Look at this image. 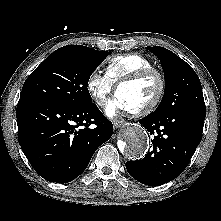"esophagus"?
<instances>
[{
    "label": "esophagus",
    "instance_id": "esophagus-1",
    "mask_svg": "<svg viewBox=\"0 0 221 221\" xmlns=\"http://www.w3.org/2000/svg\"><path fill=\"white\" fill-rule=\"evenodd\" d=\"M123 123H124L123 120H114L113 121V125L116 129L120 128L123 125Z\"/></svg>",
    "mask_w": 221,
    "mask_h": 221
}]
</instances>
